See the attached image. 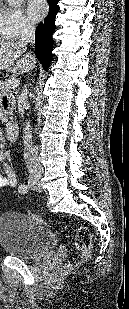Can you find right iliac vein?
I'll list each match as a JSON object with an SVG mask.
<instances>
[{"label":"right iliac vein","mask_w":129,"mask_h":309,"mask_svg":"<svg viewBox=\"0 0 129 309\" xmlns=\"http://www.w3.org/2000/svg\"><path fill=\"white\" fill-rule=\"evenodd\" d=\"M28 183L29 186L33 189H40L41 187L40 180L37 177H31Z\"/></svg>","instance_id":"right-iliac-vein-1"}]
</instances>
